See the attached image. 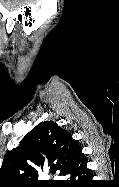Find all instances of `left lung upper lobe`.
Returning <instances> with one entry per match:
<instances>
[{"instance_id":"left-lung-upper-lobe-1","label":"left lung upper lobe","mask_w":119,"mask_h":187,"mask_svg":"<svg viewBox=\"0 0 119 187\" xmlns=\"http://www.w3.org/2000/svg\"><path fill=\"white\" fill-rule=\"evenodd\" d=\"M77 145L71 133L55 122L39 123L24 136L18 147L5 155L0 168V187L36 183L34 179L43 167L65 175Z\"/></svg>"}]
</instances>
